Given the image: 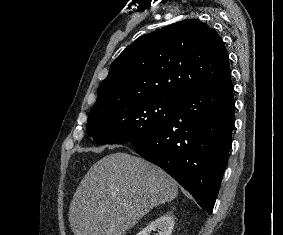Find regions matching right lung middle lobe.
<instances>
[{
    "label": "right lung middle lobe",
    "instance_id": "dd1d6c3e",
    "mask_svg": "<svg viewBox=\"0 0 283 235\" xmlns=\"http://www.w3.org/2000/svg\"><path fill=\"white\" fill-rule=\"evenodd\" d=\"M176 99L133 97L92 107L87 133L97 144L131 142L144 138L171 117Z\"/></svg>",
    "mask_w": 283,
    "mask_h": 235
}]
</instances>
